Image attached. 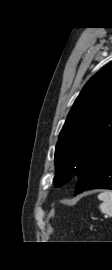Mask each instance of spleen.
<instances>
[{
  "instance_id": "spleen-1",
  "label": "spleen",
  "mask_w": 112,
  "mask_h": 270,
  "mask_svg": "<svg viewBox=\"0 0 112 270\" xmlns=\"http://www.w3.org/2000/svg\"><path fill=\"white\" fill-rule=\"evenodd\" d=\"M98 199L102 201L99 208L102 213L112 216V191H104L98 195Z\"/></svg>"
}]
</instances>
